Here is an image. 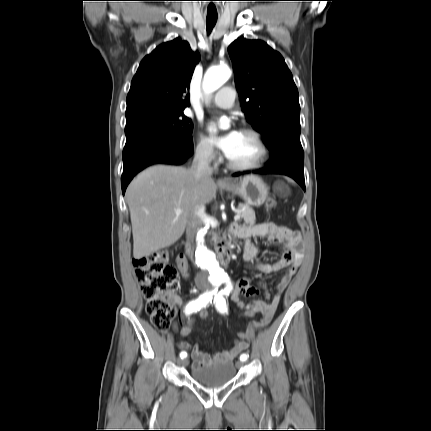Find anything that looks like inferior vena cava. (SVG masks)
<instances>
[{
  "mask_svg": "<svg viewBox=\"0 0 431 431\" xmlns=\"http://www.w3.org/2000/svg\"><path fill=\"white\" fill-rule=\"evenodd\" d=\"M211 147L207 146L196 152L192 162L191 172L194 174L196 179L202 177L210 178L212 175L211 159H210ZM205 214V205H199L196 209V217H194L188 223L187 237L190 242L194 241L197 228L201 223L200 218Z\"/></svg>",
  "mask_w": 431,
  "mask_h": 431,
  "instance_id": "1",
  "label": "inferior vena cava"
}]
</instances>
